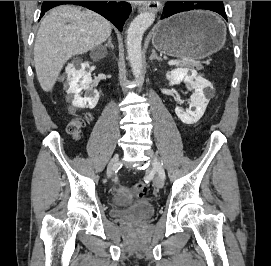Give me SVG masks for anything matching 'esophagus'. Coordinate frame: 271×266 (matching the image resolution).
I'll return each mask as SVG.
<instances>
[{"label":"esophagus","mask_w":271,"mask_h":266,"mask_svg":"<svg viewBox=\"0 0 271 266\" xmlns=\"http://www.w3.org/2000/svg\"><path fill=\"white\" fill-rule=\"evenodd\" d=\"M161 8L160 1H150L148 4H144L139 7V12L153 11L157 12Z\"/></svg>","instance_id":"34e87169"}]
</instances>
